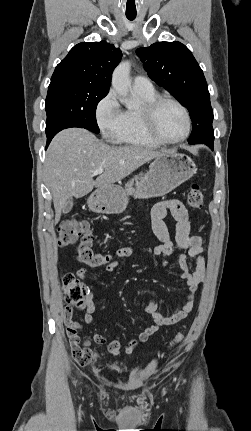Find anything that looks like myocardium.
<instances>
[{
    "mask_svg": "<svg viewBox=\"0 0 251 431\" xmlns=\"http://www.w3.org/2000/svg\"><path fill=\"white\" fill-rule=\"evenodd\" d=\"M171 103L177 106L183 113L185 118V131L184 134L175 140H167L163 138L157 130L156 116L162 105ZM141 117L143 126L147 134L162 145H177L184 142L191 132V117L188 109L180 101L169 96H156L154 99L146 102L141 109Z\"/></svg>",
    "mask_w": 251,
    "mask_h": 431,
    "instance_id": "1",
    "label": "myocardium"
}]
</instances>
